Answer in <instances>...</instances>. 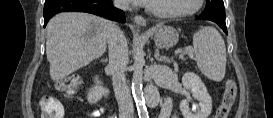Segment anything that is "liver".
Wrapping results in <instances>:
<instances>
[{
    "mask_svg": "<svg viewBox=\"0 0 273 118\" xmlns=\"http://www.w3.org/2000/svg\"><path fill=\"white\" fill-rule=\"evenodd\" d=\"M111 26L109 20L83 12L54 16L47 25L46 41L51 79H63L102 56Z\"/></svg>",
    "mask_w": 273,
    "mask_h": 118,
    "instance_id": "6515ba94",
    "label": "liver"
}]
</instances>
